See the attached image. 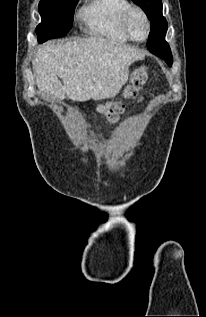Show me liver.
<instances>
[{
  "label": "liver",
  "mask_w": 206,
  "mask_h": 317,
  "mask_svg": "<svg viewBox=\"0 0 206 317\" xmlns=\"http://www.w3.org/2000/svg\"><path fill=\"white\" fill-rule=\"evenodd\" d=\"M144 57L129 45L89 37L39 46L33 66L41 92L60 101L66 96L79 102L98 101L116 96L128 80L129 66Z\"/></svg>",
  "instance_id": "liver-1"
}]
</instances>
